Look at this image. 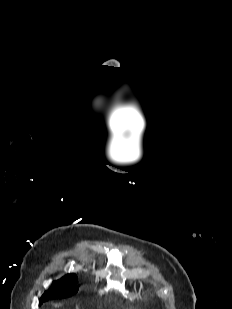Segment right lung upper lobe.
Wrapping results in <instances>:
<instances>
[{
  "instance_id": "obj_1",
  "label": "right lung upper lobe",
  "mask_w": 232,
  "mask_h": 309,
  "mask_svg": "<svg viewBox=\"0 0 232 309\" xmlns=\"http://www.w3.org/2000/svg\"><path fill=\"white\" fill-rule=\"evenodd\" d=\"M76 282H77V276L75 274H68V275H65L63 278H61L57 281H54L53 284L58 287V286H61L62 284H65V283H75L76 284ZM77 291H78V288H77ZM66 297H70V296H66ZM66 297L65 296H57V297H54L53 299H58V298L61 299V298H66Z\"/></svg>"
}]
</instances>
